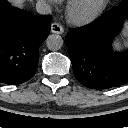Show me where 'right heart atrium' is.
Here are the masks:
<instances>
[{"label":"right heart atrium","instance_id":"1","mask_svg":"<svg viewBox=\"0 0 128 128\" xmlns=\"http://www.w3.org/2000/svg\"><path fill=\"white\" fill-rule=\"evenodd\" d=\"M45 2L51 4V5H55L57 4L60 0H44Z\"/></svg>","mask_w":128,"mask_h":128}]
</instances>
